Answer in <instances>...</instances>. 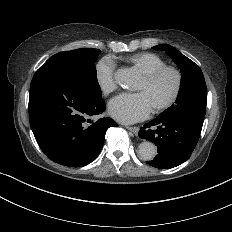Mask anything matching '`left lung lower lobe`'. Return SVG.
Returning <instances> with one entry per match:
<instances>
[{
  "mask_svg": "<svg viewBox=\"0 0 232 232\" xmlns=\"http://www.w3.org/2000/svg\"><path fill=\"white\" fill-rule=\"evenodd\" d=\"M152 126L157 129L154 130ZM200 133L181 120L157 117L139 131L140 138L152 141L157 146L158 155L146 163L161 169L182 164L190 158Z\"/></svg>",
  "mask_w": 232,
  "mask_h": 232,
  "instance_id": "1",
  "label": "left lung lower lobe"
}]
</instances>
